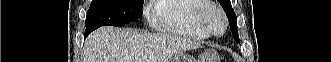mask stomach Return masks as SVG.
<instances>
[{"label":"stomach","instance_id":"obj_1","mask_svg":"<svg viewBox=\"0 0 331 62\" xmlns=\"http://www.w3.org/2000/svg\"><path fill=\"white\" fill-rule=\"evenodd\" d=\"M202 62H219V57L217 53L212 49H207L202 53L201 56ZM170 62H195L193 58L188 55L181 54L173 57Z\"/></svg>","mask_w":331,"mask_h":62}]
</instances>
